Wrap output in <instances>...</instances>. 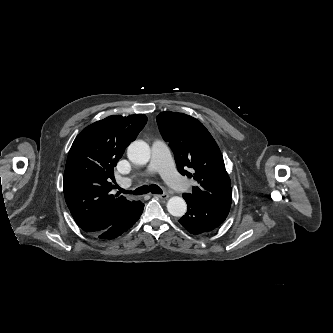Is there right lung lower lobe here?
I'll return each mask as SVG.
<instances>
[{"label":"right lung lower lobe","instance_id":"98d812e1","mask_svg":"<svg viewBox=\"0 0 333 333\" xmlns=\"http://www.w3.org/2000/svg\"><path fill=\"white\" fill-rule=\"evenodd\" d=\"M143 207L144 204L141 201H137V207L133 211L120 218L108 228L92 235L101 239H114L120 236L122 233L130 229L140 218L143 212Z\"/></svg>","mask_w":333,"mask_h":333}]
</instances>
